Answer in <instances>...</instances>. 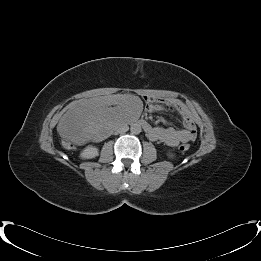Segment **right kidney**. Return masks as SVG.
Instances as JSON below:
<instances>
[{
    "label": "right kidney",
    "instance_id": "obj_1",
    "mask_svg": "<svg viewBox=\"0 0 261 261\" xmlns=\"http://www.w3.org/2000/svg\"><path fill=\"white\" fill-rule=\"evenodd\" d=\"M98 155V148L95 146H87L80 154L82 159H90Z\"/></svg>",
    "mask_w": 261,
    "mask_h": 261
}]
</instances>
